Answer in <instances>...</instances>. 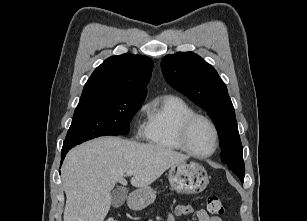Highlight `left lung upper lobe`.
<instances>
[{
	"mask_svg": "<svg viewBox=\"0 0 307 221\" xmlns=\"http://www.w3.org/2000/svg\"><path fill=\"white\" fill-rule=\"evenodd\" d=\"M161 68L166 81L206 110L216 123L222 162L240 180H244L245 165L233 104L227 87L217 71L193 52H178L165 56Z\"/></svg>",
	"mask_w": 307,
	"mask_h": 221,
	"instance_id": "1",
	"label": "left lung upper lobe"
}]
</instances>
